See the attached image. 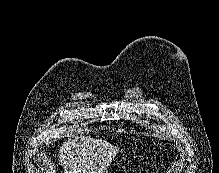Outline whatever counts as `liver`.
<instances>
[{
  "mask_svg": "<svg viewBox=\"0 0 219 173\" xmlns=\"http://www.w3.org/2000/svg\"><path fill=\"white\" fill-rule=\"evenodd\" d=\"M117 153L106 141L76 136L63 143L59 158L64 173H104Z\"/></svg>",
  "mask_w": 219,
  "mask_h": 173,
  "instance_id": "1",
  "label": "liver"
}]
</instances>
